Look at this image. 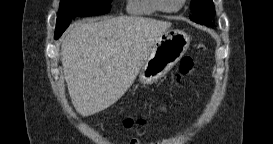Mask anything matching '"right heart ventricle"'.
<instances>
[{"label": "right heart ventricle", "instance_id": "1", "mask_svg": "<svg viewBox=\"0 0 273 144\" xmlns=\"http://www.w3.org/2000/svg\"><path fill=\"white\" fill-rule=\"evenodd\" d=\"M127 10L132 15L143 17L152 16L158 11L154 0H129Z\"/></svg>", "mask_w": 273, "mask_h": 144}]
</instances>
